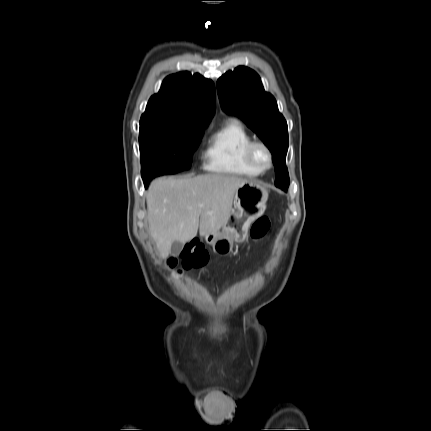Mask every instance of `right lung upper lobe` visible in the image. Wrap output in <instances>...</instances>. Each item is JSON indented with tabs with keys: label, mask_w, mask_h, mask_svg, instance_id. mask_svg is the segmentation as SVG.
Returning <instances> with one entry per match:
<instances>
[{
	"label": "right lung upper lobe",
	"mask_w": 431,
	"mask_h": 431,
	"mask_svg": "<svg viewBox=\"0 0 431 431\" xmlns=\"http://www.w3.org/2000/svg\"><path fill=\"white\" fill-rule=\"evenodd\" d=\"M215 109V87L211 80L189 72L170 75L153 95L141 121L156 120L188 126H207Z\"/></svg>",
	"instance_id": "right-lung-upper-lobe-1"
}]
</instances>
